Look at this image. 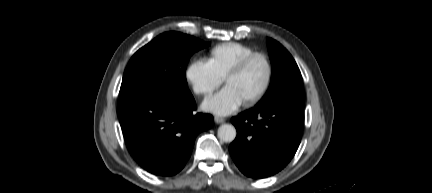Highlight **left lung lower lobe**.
Returning <instances> with one entry per match:
<instances>
[{
	"label": "left lung lower lobe",
	"instance_id": "left-lung-lower-lobe-1",
	"mask_svg": "<svg viewBox=\"0 0 432 193\" xmlns=\"http://www.w3.org/2000/svg\"><path fill=\"white\" fill-rule=\"evenodd\" d=\"M237 137L229 151L239 170L264 178L283 169L300 144L303 108L273 103L256 106L231 119Z\"/></svg>",
	"mask_w": 432,
	"mask_h": 193
}]
</instances>
